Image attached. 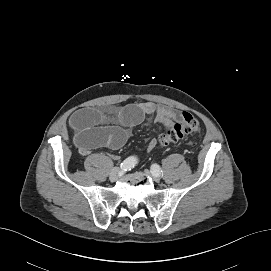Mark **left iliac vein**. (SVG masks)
I'll return each instance as SVG.
<instances>
[{
  "instance_id": "1",
  "label": "left iliac vein",
  "mask_w": 271,
  "mask_h": 271,
  "mask_svg": "<svg viewBox=\"0 0 271 271\" xmlns=\"http://www.w3.org/2000/svg\"><path fill=\"white\" fill-rule=\"evenodd\" d=\"M146 174H151V176L153 177V180L158 182L160 180V176L159 175H153L149 170H145Z\"/></svg>"
}]
</instances>
